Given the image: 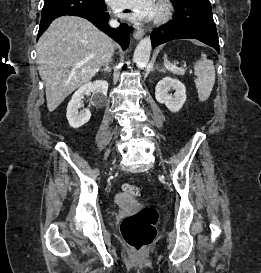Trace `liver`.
<instances>
[{"instance_id":"liver-1","label":"liver","mask_w":261,"mask_h":273,"mask_svg":"<svg viewBox=\"0 0 261 273\" xmlns=\"http://www.w3.org/2000/svg\"><path fill=\"white\" fill-rule=\"evenodd\" d=\"M36 50L47 108L52 112L111 59L114 43L86 19L63 16L51 23Z\"/></svg>"}]
</instances>
